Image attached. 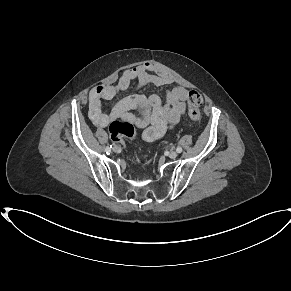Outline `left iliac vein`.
I'll use <instances>...</instances> for the list:
<instances>
[{
  "mask_svg": "<svg viewBox=\"0 0 291 291\" xmlns=\"http://www.w3.org/2000/svg\"><path fill=\"white\" fill-rule=\"evenodd\" d=\"M177 156H178V154H177V152H175V151H171V152L169 153V157L172 158V159H175Z\"/></svg>",
  "mask_w": 291,
  "mask_h": 291,
  "instance_id": "left-iliac-vein-1",
  "label": "left iliac vein"
}]
</instances>
